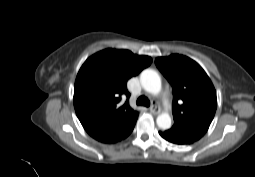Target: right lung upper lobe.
Returning <instances> with one entry per match:
<instances>
[{
    "instance_id": "obj_1",
    "label": "right lung upper lobe",
    "mask_w": 255,
    "mask_h": 177,
    "mask_svg": "<svg viewBox=\"0 0 255 177\" xmlns=\"http://www.w3.org/2000/svg\"><path fill=\"white\" fill-rule=\"evenodd\" d=\"M152 62L129 50L105 49L89 57L74 86V107L86 132L97 139L138 114L128 103L127 81ZM127 97L125 103L121 100Z\"/></svg>"
}]
</instances>
